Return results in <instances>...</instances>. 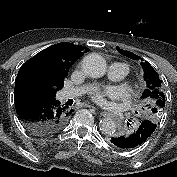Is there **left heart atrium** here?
I'll list each match as a JSON object with an SVG mask.
<instances>
[{"instance_id":"39dd6f15","label":"left heart atrium","mask_w":177,"mask_h":177,"mask_svg":"<svg viewBox=\"0 0 177 177\" xmlns=\"http://www.w3.org/2000/svg\"><path fill=\"white\" fill-rule=\"evenodd\" d=\"M114 94L115 92L111 88H107L104 90H98L92 94V99L98 104L105 105L106 98L114 96Z\"/></svg>"}]
</instances>
